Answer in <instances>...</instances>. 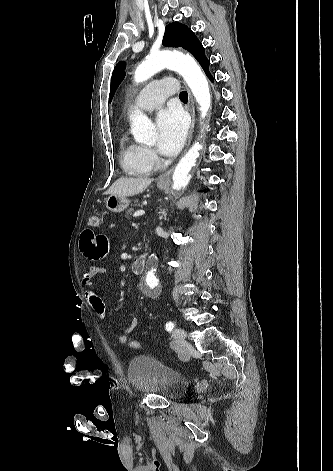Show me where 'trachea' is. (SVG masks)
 Here are the masks:
<instances>
[{
	"label": "trachea",
	"instance_id": "trachea-1",
	"mask_svg": "<svg viewBox=\"0 0 333 471\" xmlns=\"http://www.w3.org/2000/svg\"><path fill=\"white\" fill-rule=\"evenodd\" d=\"M180 100L187 101L188 100V93L186 91H182L179 95Z\"/></svg>",
	"mask_w": 333,
	"mask_h": 471
}]
</instances>
